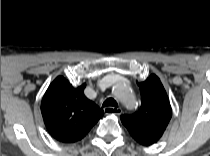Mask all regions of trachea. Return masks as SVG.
<instances>
[{
  "mask_svg": "<svg viewBox=\"0 0 210 156\" xmlns=\"http://www.w3.org/2000/svg\"><path fill=\"white\" fill-rule=\"evenodd\" d=\"M117 107V102L113 98H107L104 103L102 104V107Z\"/></svg>",
  "mask_w": 210,
  "mask_h": 156,
  "instance_id": "1",
  "label": "trachea"
}]
</instances>
